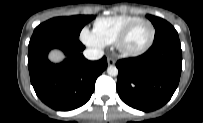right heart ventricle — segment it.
I'll list each match as a JSON object with an SVG mask.
<instances>
[{
  "instance_id": "right-heart-ventricle-1",
  "label": "right heart ventricle",
  "mask_w": 203,
  "mask_h": 123,
  "mask_svg": "<svg viewBox=\"0 0 203 123\" xmlns=\"http://www.w3.org/2000/svg\"><path fill=\"white\" fill-rule=\"evenodd\" d=\"M140 17L132 15H117L96 19L93 33L103 45L113 44L121 31Z\"/></svg>"
}]
</instances>
